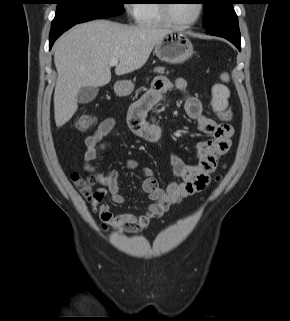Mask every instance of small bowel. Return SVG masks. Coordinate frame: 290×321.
Listing matches in <instances>:
<instances>
[{
	"mask_svg": "<svg viewBox=\"0 0 290 321\" xmlns=\"http://www.w3.org/2000/svg\"><path fill=\"white\" fill-rule=\"evenodd\" d=\"M172 89L186 93V80L176 78L171 81L165 77H157L152 88L132 104L126 119L135 136L151 143L162 142L161 126L148 115ZM184 110L188 117L197 123L199 131L210 135L211 139L201 141L196 145L198 163L195 165H188L177 154L171 153L170 164L177 180L169 183L166 188L158 185L150 169L142 170L145 177L142 188L152 200V204L141 215L113 214L103 198L105 193H108L114 204L125 203V198L118 185L119 173L117 170L102 173L93 164L99 151L108 147L105 138L115 128L116 120L112 117L104 119L96 130L85 139L84 170L103 187L100 189L104 193L103 197L91 201L92 210L98 213L103 229L119 228L130 231L144 229L152 220L161 217L170 206L180 203L183 199L199 193L207 187L218 159L226 154L231 146L233 127L227 122L218 123L204 115L201 101L194 96L186 97ZM127 167L135 169L137 162L130 159L127 162Z\"/></svg>",
	"mask_w": 290,
	"mask_h": 321,
	"instance_id": "1",
	"label": "small bowel"
}]
</instances>
